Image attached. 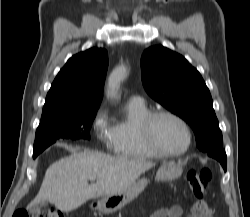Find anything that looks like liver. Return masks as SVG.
Wrapping results in <instances>:
<instances>
[{
  "label": "liver",
  "mask_w": 250,
  "mask_h": 217,
  "mask_svg": "<svg viewBox=\"0 0 250 217\" xmlns=\"http://www.w3.org/2000/svg\"><path fill=\"white\" fill-rule=\"evenodd\" d=\"M152 166V162L143 159L115 157L94 151L74 153L49 166L29 208L49 201L61 211L75 210L89 199L122 192ZM91 177H96L97 181L89 185Z\"/></svg>",
  "instance_id": "6515ba94"
}]
</instances>
